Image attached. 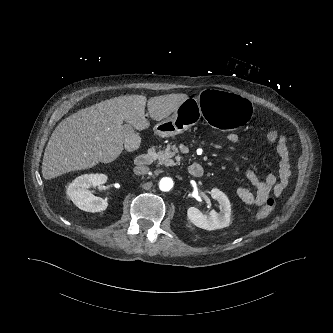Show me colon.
I'll list each match as a JSON object with an SVG mask.
<instances>
[{
    "label": "colon",
    "instance_id": "1",
    "mask_svg": "<svg viewBox=\"0 0 333 333\" xmlns=\"http://www.w3.org/2000/svg\"><path fill=\"white\" fill-rule=\"evenodd\" d=\"M280 134L276 130L268 131L266 138L269 142H277L280 139ZM275 208V201L272 198H269L265 201L264 205L257 214L258 219H263L267 217Z\"/></svg>",
    "mask_w": 333,
    "mask_h": 333
}]
</instances>
